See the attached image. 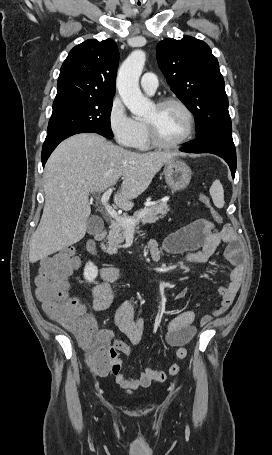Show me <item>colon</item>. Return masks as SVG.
I'll list each match as a JSON object with an SVG mask.
<instances>
[{"label": "colon", "instance_id": "obj_1", "mask_svg": "<svg viewBox=\"0 0 272 455\" xmlns=\"http://www.w3.org/2000/svg\"><path fill=\"white\" fill-rule=\"evenodd\" d=\"M200 201L210 211L214 220L222 221L220 214L211 205L208 197L202 195ZM78 260L74 249L64 248L48 257L39 268L36 276V296L46 314L76 335L87 351L88 363L101 371L107 368L120 369L116 359L117 350L95 336L94 321L85 315L84 306L68 295V279L76 269ZM182 355H186L182 352Z\"/></svg>", "mask_w": 272, "mask_h": 455}]
</instances>
